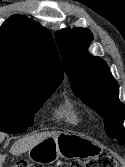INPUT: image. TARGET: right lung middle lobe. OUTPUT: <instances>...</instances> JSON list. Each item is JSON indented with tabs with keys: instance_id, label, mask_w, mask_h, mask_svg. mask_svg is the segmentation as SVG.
Masks as SVG:
<instances>
[{
	"instance_id": "dd1d6c3e",
	"label": "right lung middle lobe",
	"mask_w": 125,
	"mask_h": 167,
	"mask_svg": "<svg viewBox=\"0 0 125 167\" xmlns=\"http://www.w3.org/2000/svg\"><path fill=\"white\" fill-rule=\"evenodd\" d=\"M56 88L27 95L0 91V131L26 132L27 128L33 124L34 113L39 110Z\"/></svg>"
}]
</instances>
